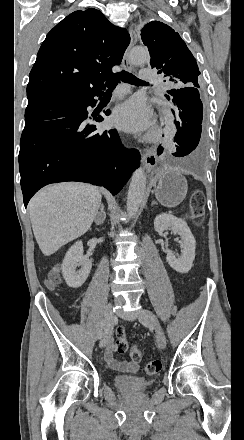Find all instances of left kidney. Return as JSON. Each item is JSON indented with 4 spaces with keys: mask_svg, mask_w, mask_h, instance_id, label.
I'll return each mask as SVG.
<instances>
[{
    "mask_svg": "<svg viewBox=\"0 0 244 440\" xmlns=\"http://www.w3.org/2000/svg\"><path fill=\"white\" fill-rule=\"evenodd\" d=\"M154 228L158 234H162L165 230H171V232L179 234L183 242L182 256L175 258L172 252H168L167 262L176 272L188 274L193 266V260H195L196 240L186 222L181 218L171 216V214H159L154 220Z\"/></svg>",
    "mask_w": 244,
    "mask_h": 440,
    "instance_id": "left-kidney-1",
    "label": "left kidney"
}]
</instances>
